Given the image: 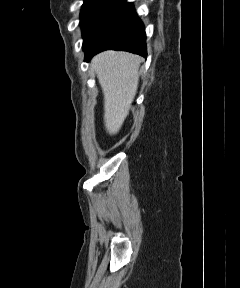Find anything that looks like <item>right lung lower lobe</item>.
Instances as JSON below:
<instances>
[{
  "mask_svg": "<svg viewBox=\"0 0 240 288\" xmlns=\"http://www.w3.org/2000/svg\"><path fill=\"white\" fill-rule=\"evenodd\" d=\"M113 49L147 56L146 34L134 7L122 0L89 42L83 45L85 60L98 52Z\"/></svg>",
  "mask_w": 240,
  "mask_h": 288,
  "instance_id": "1",
  "label": "right lung lower lobe"
}]
</instances>
